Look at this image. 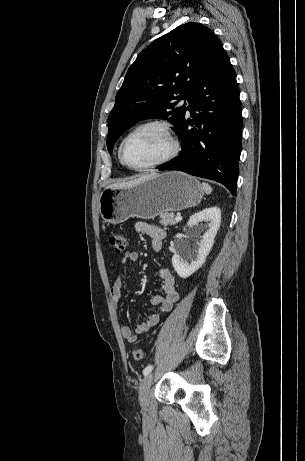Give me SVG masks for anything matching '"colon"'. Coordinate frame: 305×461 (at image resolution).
Returning a JSON list of instances; mask_svg holds the SVG:
<instances>
[{
	"label": "colon",
	"instance_id": "1",
	"mask_svg": "<svg viewBox=\"0 0 305 461\" xmlns=\"http://www.w3.org/2000/svg\"><path fill=\"white\" fill-rule=\"evenodd\" d=\"M108 241L116 253H122L127 246V236L123 233L111 232L108 235ZM132 355L135 360H141L144 356L143 350L140 347L132 349Z\"/></svg>",
	"mask_w": 305,
	"mask_h": 461
}]
</instances>
